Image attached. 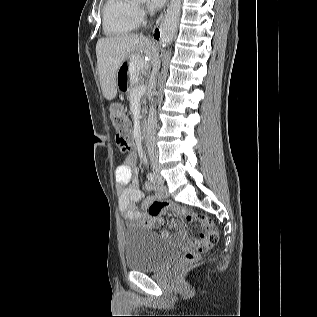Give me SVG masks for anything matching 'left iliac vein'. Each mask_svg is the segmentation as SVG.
Masks as SVG:
<instances>
[{"instance_id":"left-iliac-vein-1","label":"left iliac vein","mask_w":317,"mask_h":317,"mask_svg":"<svg viewBox=\"0 0 317 317\" xmlns=\"http://www.w3.org/2000/svg\"><path fill=\"white\" fill-rule=\"evenodd\" d=\"M158 171L159 170H156V174L158 176V184L162 185L164 183V179L159 175Z\"/></svg>"}]
</instances>
